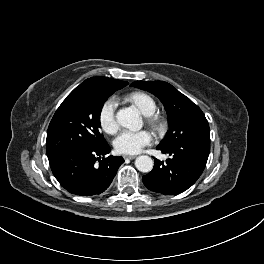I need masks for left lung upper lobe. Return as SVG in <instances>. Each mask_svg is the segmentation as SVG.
<instances>
[{
  "mask_svg": "<svg viewBox=\"0 0 264 264\" xmlns=\"http://www.w3.org/2000/svg\"><path fill=\"white\" fill-rule=\"evenodd\" d=\"M130 86L156 95L169 118L170 130L159 147H171L183 141H210L208 121L202 110L171 84L164 81H136Z\"/></svg>",
  "mask_w": 264,
  "mask_h": 264,
  "instance_id": "1",
  "label": "left lung upper lobe"
}]
</instances>
